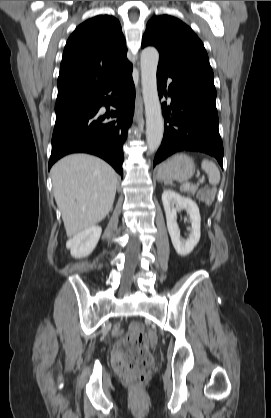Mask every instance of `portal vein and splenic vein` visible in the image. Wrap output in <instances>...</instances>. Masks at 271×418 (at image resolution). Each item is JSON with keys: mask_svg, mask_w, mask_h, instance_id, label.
Wrapping results in <instances>:
<instances>
[{"mask_svg": "<svg viewBox=\"0 0 271 418\" xmlns=\"http://www.w3.org/2000/svg\"><path fill=\"white\" fill-rule=\"evenodd\" d=\"M203 181H204V178H202V179H201V182H203ZM189 187H190V185H189V184H185V185H183V188H184V189H187V188H189Z\"/></svg>", "mask_w": 271, "mask_h": 418, "instance_id": "1", "label": "portal vein and splenic vein"}]
</instances>
